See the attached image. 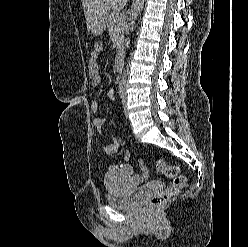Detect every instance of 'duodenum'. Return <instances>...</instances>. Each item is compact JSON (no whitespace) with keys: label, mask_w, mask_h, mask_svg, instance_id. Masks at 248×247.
I'll list each match as a JSON object with an SVG mask.
<instances>
[{"label":"duodenum","mask_w":248,"mask_h":247,"mask_svg":"<svg viewBox=\"0 0 248 247\" xmlns=\"http://www.w3.org/2000/svg\"><path fill=\"white\" fill-rule=\"evenodd\" d=\"M116 70L118 72H122L124 69V55L122 53H119L116 58L115 63Z\"/></svg>","instance_id":"410a0bca"}]
</instances>
